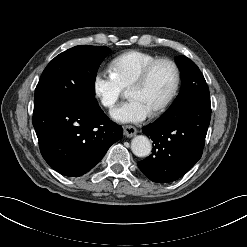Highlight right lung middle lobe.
I'll return each mask as SVG.
<instances>
[{
    "instance_id": "obj_1",
    "label": "right lung middle lobe",
    "mask_w": 247,
    "mask_h": 247,
    "mask_svg": "<svg viewBox=\"0 0 247 247\" xmlns=\"http://www.w3.org/2000/svg\"><path fill=\"white\" fill-rule=\"evenodd\" d=\"M108 54L105 46H75L56 56L44 69L35 89L34 108L66 99L86 109H97L95 78Z\"/></svg>"
}]
</instances>
